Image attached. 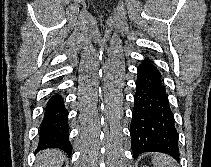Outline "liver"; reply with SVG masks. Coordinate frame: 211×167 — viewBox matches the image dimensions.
<instances>
[{"label": "liver", "mask_w": 211, "mask_h": 167, "mask_svg": "<svg viewBox=\"0 0 211 167\" xmlns=\"http://www.w3.org/2000/svg\"><path fill=\"white\" fill-rule=\"evenodd\" d=\"M64 159V153L56 149H49L38 154L35 167H61Z\"/></svg>", "instance_id": "liver-1"}]
</instances>
